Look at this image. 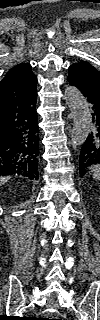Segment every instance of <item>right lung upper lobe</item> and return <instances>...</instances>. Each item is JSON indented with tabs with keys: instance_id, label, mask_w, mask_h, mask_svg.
I'll return each mask as SVG.
<instances>
[{
	"instance_id": "cb5924a9",
	"label": "right lung upper lobe",
	"mask_w": 100,
	"mask_h": 320,
	"mask_svg": "<svg viewBox=\"0 0 100 320\" xmlns=\"http://www.w3.org/2000/svg\"><path fill=\"white\" fill-rule=\"evenodd\" d=\"M37 79L29 64L20 63L7 72L0 82V102L22 98L36 87Z\"/></svg>"
}]
</instances>
